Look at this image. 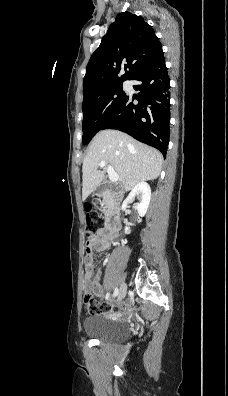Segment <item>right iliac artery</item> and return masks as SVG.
I'll return each mask as SVG.
<instances>
[{
    "instance_id": "obj_1",
    "label": "right iliac artery",
    "mask_w": 228,
    "mask_h": 396,
    "mask_svg": "<svg viewBox=\"0 0 228 396\" xmlns=\"http://www.w3.org/2000/svg\"><path fill=\"white\" fill-rule=\"evenodd\" d=\"M118 292H119L118 288H115L114 293H113V297H116L118 295Z\"/></svg>"
}]
</instances>
